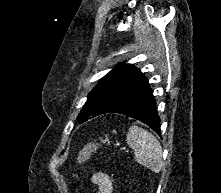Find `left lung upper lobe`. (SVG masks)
Instances as JSON below:
<instances>
[{"label":"left lung upper lobe","instance_id":"left-lung-upper-lobe-1","mask_svg":"<svg viewBox=\"0 0 221 193\" xmlns=\"http://www.w3.org/2000/svg\"><path fill=\"white\" fill-rule=\"evenodd\" d=\"M141 76L142 73L140 70L131 64H120L116 66L105 75L99 84L90 92L77 120L85 122L91 117L102 114L127 86Z\"/></svg>","mask_w":221,"mask_h":193}]
</instances>
